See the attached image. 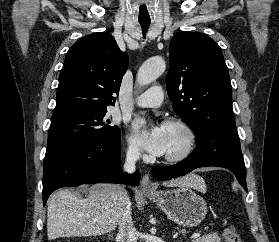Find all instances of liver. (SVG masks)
Masks as SVG:
<instances>
[{"instance_id":"6515ba94","label":"liver","mask_w":279,"mask_h":242,"mask_svg":"<svg viewBox=\"0 0 279 242\" xmlns=\"http://www.w3.org/2000/svg\"><path fill=\"white\" fill-rule=\"evenodd\" d=\"M165 186H185L206 191L203 179L188 175L164 183ZM82 198L77 192L61 189L53 193L47 207V236L89 237L108 233L116 228L120 217L123 188L115 184H95Z\"/></svg>"}]
</instances>
